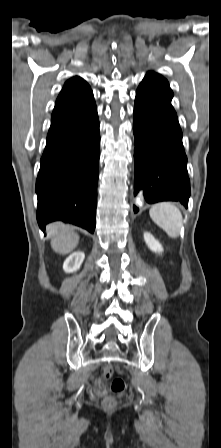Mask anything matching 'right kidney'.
<instances>
[{
	"instance_id": "ca27d5eb",
	"label": "right kidney",
	"mask_w": 221,
	"mask_h": 448,
	"mask_svg": "<svg viewBox=\"0 0 221 448\" xmlns=\"http://www.w3.org/2000/svg\"><path fill=\"white\" fill-rule=\"evenodd\" d=\"M85 258V254L82 251L72 253L63 264V269L66 273H73L77 271L83 260Z\"/></svg>"
}]
</instances>
